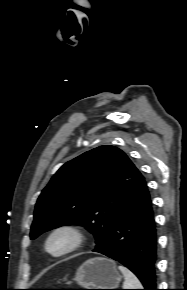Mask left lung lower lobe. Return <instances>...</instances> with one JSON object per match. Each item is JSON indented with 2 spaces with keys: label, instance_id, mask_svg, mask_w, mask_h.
Returning <instances> with one entry per match:
<instances>
[{
  "label": "left lung lower lobe",
  "instance_id": "obj_1",
  "mask_svg": "<svg viewBox=\"0 0 187 290\" xmlns=\"http://www.w3.org/2000/svg\"><path fill=\"white\" fill-rule=\"evenodd\" d=\"M156 228L145 181L127 198L112 223L106 241L93 251L130 269L144 290L156 289Z\"/></svg>",
  "mask_w": 187,
  "mask_h": 290
}]
</instances>
